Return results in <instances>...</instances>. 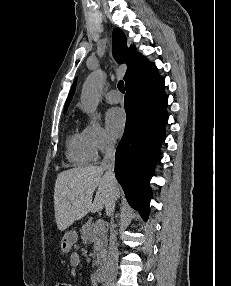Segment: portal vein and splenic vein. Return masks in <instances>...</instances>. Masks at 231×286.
Returning a JSON list of instances; mask_svg holds the SVG:
<instances>
[{"mask_svg": "<svg viewBox=\"0 0 231 286\" xmlns=\"http://www.w3.org/2000/svg\"><path fill=\"white\" fill-rule=\"evenodd\" d=\"M96 227L101 228L105 225V221L103 219H98L95 223Z\"/></svg>", "mask_w": 231, "mask_h": 286, "instance_id": "obj_1", "label": "portal vein and splenic vein"}]
</instances>
